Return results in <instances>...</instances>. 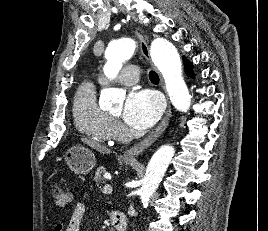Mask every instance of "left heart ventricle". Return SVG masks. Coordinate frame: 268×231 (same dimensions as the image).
Instances as JSON below:
<instances>
[{"instance_id":"obj_1","label":"left heart ventricle","mask_w":268,"mask_h":231,"mask_svg":"<svg viewBox=\"0 0 268 231\" xmlns=\"http://www.w3.org/2000/svg\"><path fill=\"white\" fill-rule=\"evenodd\" d=\"M121 110H122V106H118V107L114 108V109L111 111V114L118 116V115H120Z\"/></svg>"}]
</instances>
